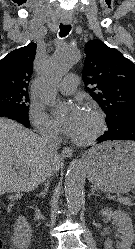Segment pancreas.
Segmentation results:
<instances>
[{
    "instance_id": "1",
    "label": "pancreas",
    "mask_w": 135,
    "mask_h": 249,
    "mask_svg": "<svg viewBox=\"0 0 135 249\" xmlns=\"http://www.w3.org/2000/svg\"><path fill=\"white\" fill-rule=\"evenodd\" d=\"M118 202L121 204L127 205V206H132L133 203L131 202V199L128 197H118Z\"/></svg>"
}]
</instances>
